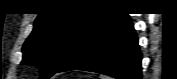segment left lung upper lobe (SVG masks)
Wrapping results in <instances>:
<instances>
[{"label":"left lung upper lobe","mask_w":177,"mask_h":79,"mask_svg":"<svg viewBox=\"0 0 177 79\" xmlns=\"http://www.w3.org/2000/svg\"><path fill=\"white\" fill-rule=\"evenodd\" d=\"M106 14L65 10L40 13L22 48V64L36 65L41 70V79L50 78Z\"/></svg>","instance_id":"obj_1"}]
</instances>
